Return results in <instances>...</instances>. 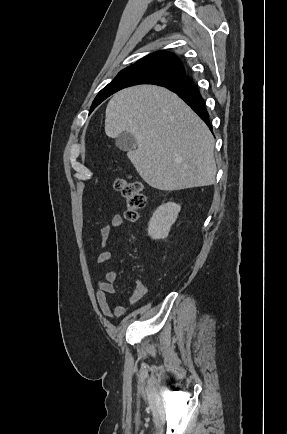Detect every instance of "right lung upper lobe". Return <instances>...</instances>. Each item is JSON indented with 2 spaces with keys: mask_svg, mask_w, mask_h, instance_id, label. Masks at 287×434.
<instances>
[{
  "mask_svg": "<svg viewBox=\"0 0 287 434\" xmlns=\"http://www.w3.org/2000/svg\"><path fill=\"white\" fill-rule=\"evenodd\" d=\"M139 68L160 69V70L173 73L178 76V79L176 80L162 81L156 83V85H160V86L170 85L186 77V72L180 59L176 55L166 51H158L153 54H150L138 60L133 65L123 69L121 72L130 71Z\"/></svg>",
  "mask_w": 287,
  "mask_h": 434,
  "instance_id": "right-lung-upper-lobe-1",
  "label": "right lung upper lobe"
}]
</instances>
